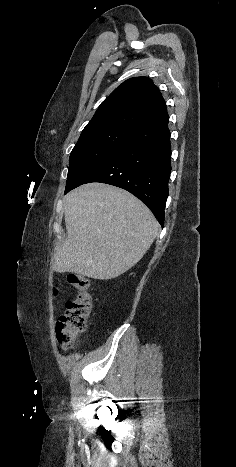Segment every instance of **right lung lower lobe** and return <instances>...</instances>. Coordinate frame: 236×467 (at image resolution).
<instances>
[{
	"mask_svg": "<svg viewBox=\"0 0 236 467\" xmlns=\"http://www.w3.org/2000/svg\"><path fill=\"white\" fill-rule=\"evenodd\" d=\"M168 122L143 130L116 147L66 187L65 193L90 182L123 188L145 203L163 226L171 172Z\"/></svg>",
	"mask_w": 236,
	"mask_h": 467,
	"instance_id": "obj_1",
	"label": "right lung lower lobe"
}]
</instances>
